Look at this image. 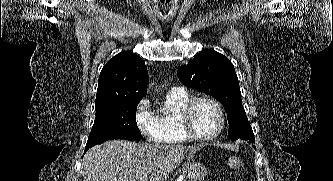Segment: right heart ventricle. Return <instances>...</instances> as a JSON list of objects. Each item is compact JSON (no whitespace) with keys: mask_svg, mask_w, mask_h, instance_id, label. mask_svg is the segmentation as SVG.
<instances>
[{"mask_svg":"<svg viewBox=\"0 0 333 181\" xmlns=\"http://www.w3.org/2000/svg\"><path fill=\"white\" fill-rule=\"evenodd\" d=\"M191 98L186 91L168 93L164 105L154 112L159 125L155 138L157 142L181 144L190 140L182 129L180 114Z\"/></svg>","mask_w":333,"mask_h":181,"instance_id":"obj_1","label":"right heart ventricle"}]
</instances>
